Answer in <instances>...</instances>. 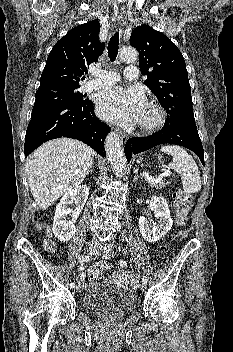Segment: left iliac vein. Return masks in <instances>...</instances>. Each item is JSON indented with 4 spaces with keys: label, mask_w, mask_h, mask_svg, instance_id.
I'll use <instances>...</instances> for the list:
<instances>
[{
    "label": "left iliac vein",
    "mask_w": 233,
    "mask_h": 352,
    "mask_svg": "<svg viewBox=\"0 0 233 352\" xmlns=\"http://www.w3.org/2000/svg\"><path fill=\"white\" fill-rule=\"evenodd\" d=\"M101 252V249L98 248V251L96 252V255H99ZM140 290L144 291L146 289V284L144 283H141L140 286H139Z\"/></svg>",
    "instance_id": "4c4485c4"
}]
</instances>
